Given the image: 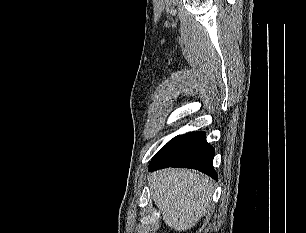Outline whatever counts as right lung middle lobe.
<instances>
[{
    "instance_id": "right-lung-middle-lobe-1",
    "label": "right lung middle lobe",
    "mask_w": 306,
    "mask_h": 233,
    "mask_svg": "<svg viewBox=\"0 0 306 233\" xmlns=\"http://www.w3.org/2000/svg\"><path fill=\"white\" fill-rule=\"evenodd\" d=\"M178 138V136H176L175 138H173L172 140H170L164 147H162L157 154L153 157V159H155L158 155H160L173 141H175ZM152 159V160H153Z\"/></svg>"
}]
</instances>
